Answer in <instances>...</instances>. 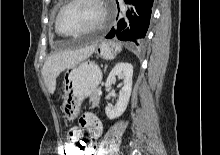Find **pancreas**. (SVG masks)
Returning a JSON list of instances; mask_svg holds the SVG:
<instances>
[{
  "label": "pancreas",
  "mask_w": 220,
  "mask_h": 155,
  "mask_svg": "<svg viewBox=\"0 0 220 155\" xmlns=\"http://www.w3.org/2000/svg\"><path fill=\"white\" fill-rule=\"evenodd\" d=\"M89 102L91 104V108H95L98 106L100 102V96L97 94V91L93 92V94L90 95Z\"/></svg>",
  "instance_id": "obj_1"
}]
</instances>
